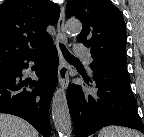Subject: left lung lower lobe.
I'll return each mask as SVG.
<instances>
[{"label":"left lung lower lobe","mask_w":144,"mask_h":137,"mask_svg":"<svg viewBox=\"0 0 144 137\" xmlns=\"http://www.w3.org/2000/svg\"><path fill=\"white\" fill-rule=\"evenodd\" d=\"M90 67L94 91H85L75 84L68 88L67 101L76 137H87L108 125L125 126L144 134L130 77L98 65Z\"/></svg>","instance_id":"0a47b994"}]
</instances>
